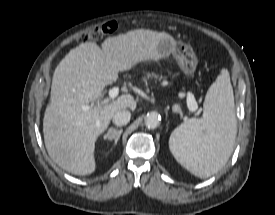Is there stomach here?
Listing matches in <instances>:
<instances>
[{"mask_svg": "<svg viewBox=\"0 0 275 215\" xmlns=\"http://www.w3.org/2000/svg\"><path fill=\"white\" fill-rule=\"evenodd\" d=\"M173 56L180 69L187 77H192L197 67V58L193 49L181 42H178L171 36L162 37L158 40L156 46V57L150 60L165 59Z\"/></svg>", "mask_w": 275, "mask_h": 215, "instance_id": "obj_1", "label": "stomach"}]
</instances>
